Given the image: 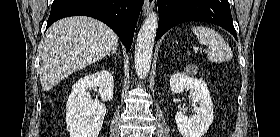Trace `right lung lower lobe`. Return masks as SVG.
<instances>
[{"instance_id":"right-lung-lower-lobe-1","label":"right lung lower lobe","mask_w":280,"mask_h":137,"mask_svg":"<svg viewBox=\"0 0 280 137\" xmlns=\"http://www.w3.org/2000/svg\"><path fill=\"white\" fill-rule=\"evenodd\" d=\"M143 2L144 0H54L47 28L68 16L93 17L108 25L129 51Z\"/></svg>"}]
</instances>
